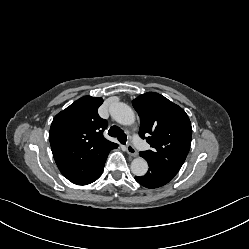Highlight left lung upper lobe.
<instances>
[{
  "instance_id": "obj_1",
  "label": "left lung upper lobe",
  "mask_w": 249,
  "mask_h": 249,
  "mask_svg": "<svg viewBox=\"0 0 249 249\" xmlns=\"http://www.w3.org/2000/svg\"><path fill=\"white\" fill-rule=\"evenodd\" d=\"M132 104L140 116L139 135L152 147L140 155L148 164L176 175L191 145L192 127L188 115L155 92L138 96Z\"/></svg>"
}]
</instances>
